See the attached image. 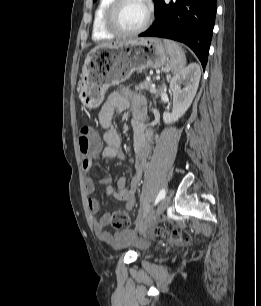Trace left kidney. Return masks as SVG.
<instances>
[{
	"mask_svg": "<svg viewBox=\"0 0 261 306\" xmlns=\"http://www.w3.org/2000/svg\"><path fill=\"white\" fill-rule=\"evenodd\" d=\"M200 77V66L191 63L171 79L170 89L173 92V109L171 113H163L165 124L178 121L188 110L196 95Z\"/></svg>",
	"mask_w": 261,
	"mask_h": 306,
	"instance_id": "1",
	"label": "left kidney"
}]
</instances>
